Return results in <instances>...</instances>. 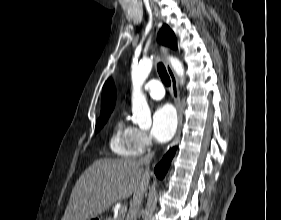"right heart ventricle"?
I'll use <instances>...</instances> for the list:
<instances>
[{
  "label": "right heart ventricle",
  "mask_w": 281,
  "mask_h": 220,
  "mask_svg": "<svg viewBox=\"0 0 281 220\" xmlns=\"http://www.w3.org/2000/svg\"><path fill=\"white\" fill-rule=\"evenodd\" d=\"M137 129L127 124L122 118H119L114 126L110 138L111 150L123 157H134L141 153L136 143Z\"/></svg>",
  "instance_id": "1"
}]
</instances>
